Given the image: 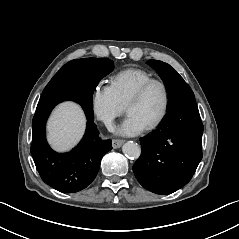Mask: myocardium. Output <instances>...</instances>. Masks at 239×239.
I'll return each mask as SVG.
<instances>
[{"instance_id": "obj_1", "label": "myocardium", "mask_w": 239, "mask_h": 239, "mask_svg": "<svg viewBox=\"0 0 239 239\" xmlns=\"http://www.w3.org/2000/svg\"><path fill=\"white\" fill-rule=\"evenodd\" d=\"M153 85H160L162 87L164 91V107L161 114L158 116V118L155 121H153L151 124L146 126L147 130H154L158 128L165 121V119L167 118L169 114L170 107H171V92L167 83L161 79H156V78H152L148 80L147 82L143 83L140 87L137 88V90L131 95V97L129 98L126 104V111H128L129 106L141 100L146 94V92Z\"/></svg>"}]
</instances>
